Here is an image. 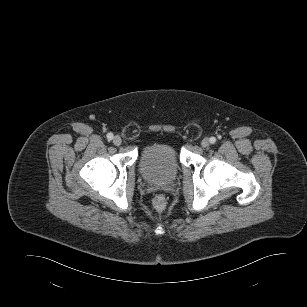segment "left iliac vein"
<instances>
[{"label":"left iliac vein","mask_w":307,"mask_h":307,"mask_svg":"<svg viewBox=\"0 0 307 307\" xmlns=\"http://www.w3.org/2000/svg\"><path fill=\"white\" fill-rule=\"evenodd\" d=\"M202 147L206 148L210 145V140L208 138H204L201 142Z\"/></svg>","instance_id":"obj_1"}]
</instances>
